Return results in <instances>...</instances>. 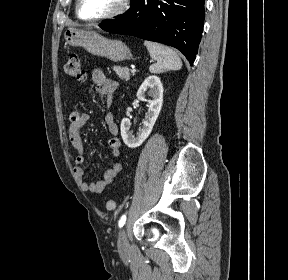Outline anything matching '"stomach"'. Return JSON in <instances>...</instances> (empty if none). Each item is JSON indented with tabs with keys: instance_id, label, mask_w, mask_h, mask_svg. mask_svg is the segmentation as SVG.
I'll return each instance as SVG.
<instances>
[{
	"instance_id": "obj_1",
	"label": "stomach",
	"mask_w": 288,
	"mask_h": 280,
	"mask_svg": "<svg viewBox=\"0 0 288 280\" xmlns=\"http://www.w3.org/2000/svg\"><path fill=\"white\" fill-rule=\"evenodd\" d=\"M64 38L71 46L83 47L92 55L105 57L114 62L132 57L131 50L125 43L105 38L96 31L68 28L64 32Z\"/></svg>"
}]
</instances>
